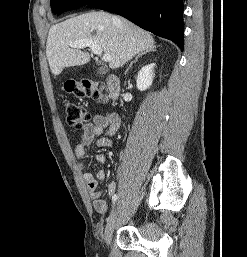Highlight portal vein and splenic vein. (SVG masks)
Segmentation results:
<instances>
[{"label":"portal vein and splenic vein","instance_id":"portal-vein-and-splenic-vein-1","mask_svg":"<svg viewBox=\"0 0 247 257\" xmlns=\"http://www.w3.org/2000/svg\"><path fill=\"white\" fill-rule=\"evenodd\" d=\"M69 46L72 48H78V49L89 47V48H91V50L94 54H96V55L102 54V50L99 47V45L89 39L75 41L73 43H70ZM102 59L107 62V61L111 60V57H110V55L105 54V55H103Z\"/></svg>","mask_w":247,"mask_h":257}]
</instances>
